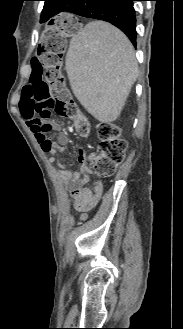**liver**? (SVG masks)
<instances>
[{
  "label": "liver",
  "mask_w": 183,
  "mask_h": 329,
  "mask_svg": "<svg viewBox=\"0 0 183 329\" xmlns=\"http://www.w3.org/2000/svg\"><path fill=\"white\" fill-rule=\"evenodd\" d=\"M66 71L75 97L97 120L117 119L138 76L134 47L113 25L93 21L70 40Z\"/></svg>",
  "instance_id": "obj_1"
}]
</instances>
